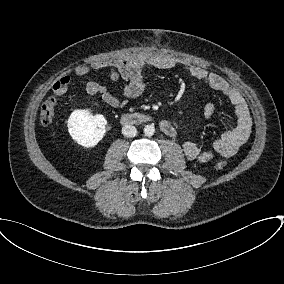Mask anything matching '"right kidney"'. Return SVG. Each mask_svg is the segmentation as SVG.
I'll return each instance as SVG.
<instances>
[{
  "label": "right kidney",
  "mask_w": 284,
  "mask_h": 284,
  "mask_svg": "<svg viewBox=\"0 0 284 284\" xmlns=\"http://www.w3.org/2000/svg\"><path fill=\"white\" fill-rule=\"evenodd\" d=\"M107 120L101 114L92 115L88 110H74L68 119L72 139L83 147L96 146L106 134Z\"/></svg>",
  "instance_id": "ca27d5eb"
}]
</instances>
